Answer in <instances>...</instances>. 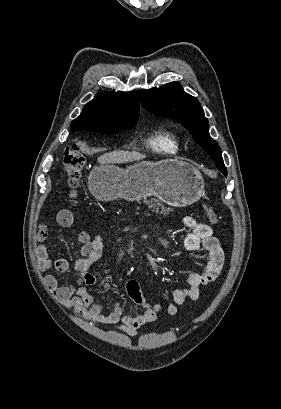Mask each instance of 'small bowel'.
Instances as JSON below:
<instances>
[{"label":"small bowel","mask_w":281,"mask_h":409,"mask_svg":"<svg viewBox=\"0 0 281 409\" xmlns=\"http://www.w3.org/2000/svg\"><path fill=\"white\" fill-rule=\"evenodd\" d=\"M57 220L61 227L69 228L74 223L73 213L68 209H62L58 213ZM184 223L191 231L182 237L183 245L187 250L197 252L203 265L201 272L189 273L186 276L184 288L174 290L172 300L165 306L169 315H176L179 306L186 302L197 300L200 287L214 282L219 277L225 260L224 251L210 226L191 217H185ZM37 228L39 229L38 240L42 241L45 238L47 225L40 222ZM76 240L81 246V257L75 262L72 284L61 286L54 276L45 277L47 288L62 305L68 309L73 308L78 316L88 321L110 325L129 336L137 335L141 327L152 324L161 307L150 305L141 294L139 283L133 279L126 283V290L133 303L142 308V312L140 314H134L132 310L124 312L120 304L115 303L110 313H103V305L95 301L88 288L98 282L96 276L88 270L102 254L103 238L98 235L92 239L88 232L81 231L77 234ZM36 256L42 270L64 273L70 268L69 261L64 258L51 259L46 245H40L36 249Z\"/></svg>","instance_id":"small-bowel-1"}]
</instances>
